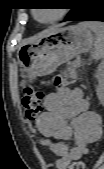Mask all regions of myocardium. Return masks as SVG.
I'll use <instances>...</instances> for the list:
<instances>
[{"mask_svg": "<svg viewBox=\"0 0 104 169\" xmlns=\"http://www.w3.org/2000/svg\"><path fill=\"white\" fill-rule=\"evenodd\" d=\"M64 13H65L64 10H59L52 19L47 20V21H40L36 16V12H33V16L38 22L43 23V24H48V23H54L60 20L64 16Z\"/></svg>", "mask_w": 104, "mask_h": 169, "instance_id": "myocardium-1", "label": "myocardium"}]
</instances>
